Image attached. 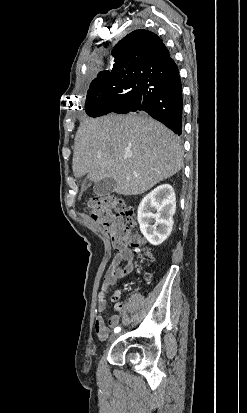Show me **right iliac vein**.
Returning a JSON list of instances; mask_svg holds the SVG:
<instances>
[{"instance_id": "63e3f726", "label": "right iliac vein", "mask_w": 247, "mask_h": 413, "mask_svg": "<svg viewBox=\"0 0 247 413\" xmlns=\"http://www.w3.org/2000/svg\"><path fill=\"white\" fill-rule=\"evenodd\" d=\"M118 337H119L118 334L111 335L110 341L113 342V341L116 340Z\"/></svg>"}]
</instances>
